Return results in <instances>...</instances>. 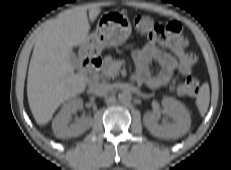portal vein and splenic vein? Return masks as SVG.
<instances>
[{"label":"portal vein and splenic vein","instance_id":"portal-vein-and-splenic-vein-1","mask_svg":"<svg viewBox=\"0 0 231 170\" xmlns=\"http://www.w3.org/2000/svg\"><path fill=\"white\" fill-rule=\"evenodd\" d=\"M116 69H118V64H115V66H114Z\"/></svg>","mask_w":231,"mask_h":170}]
</instances>
